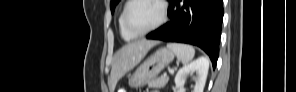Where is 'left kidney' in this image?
Wrapping results in <instances>:
<instances>
[{
    "label": "left kidney",
    "mask_w": 296,
    "mask_h": 92,
    "mask_svg": "<svg viewBox=\"0 0 296 92\" xmlns=\"http://www.w3.org/2000/svg\"><path fill=\"white\" fill-rule=\"evenodd\" d=\"M209 70V60L200 57L188 65L183 66L175 76L176 88H182L185 85L187 76L196 73L195 86L192 92H203Z\"/></svg>",
    "instance_id": "obj_1"
}]
</instances>
